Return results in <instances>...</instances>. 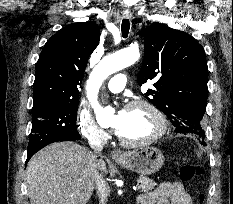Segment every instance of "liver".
<instances>
[{"label": "liver", "instance_id": "6515ba94", "mask_svg": "<svg viewBox=\"0 0 233 204\" xmlns=\"http://www.w3.org/2000/svg\"><path fill=\"white\" fill-rule=\"evenodd\" d=\"M105 172L106 164L96 160L85 147L63 141L52 143L29 161L26 169L31 204H86L94 188V167Z\"/></svg>", "mask_w": 233, "mask_h": 204}]
</instances>
